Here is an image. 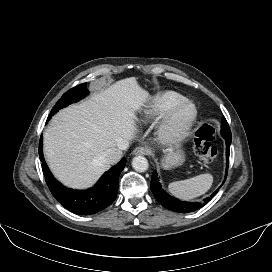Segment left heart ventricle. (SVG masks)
Listing matches in <instances>:
<instances>
[{
    "instance_id": "obj_1",
    "label": "left heart ventricle",
    "mask_w": 272,
    "mask_h": 272,
    "mask_svg": "<svg viewBox=\"0 0 272 272\" xmlns=\"http://www.w3.org/2000/svg\"><path fill=\"white\" fill-rule=\"evenodd\" d=\"M192 114V110L190 107H185L183 109H181L175 119H174V122H173V125L174 127H181L182 125H184L187 120L190 118Z\"/></svg>"
}]
</instances>
